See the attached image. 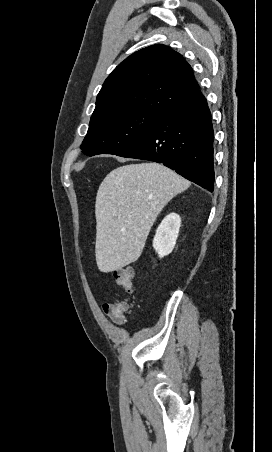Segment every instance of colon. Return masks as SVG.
<instances>
[{"label": "colon", "mask_w": 272, "mask_h": 452, "mask_svg": "<svg viewBox=\"0 0 272 452\" xmlns=\"http://www.w3.org/2000/svg\"><path fill=\"white\" fill-rule=\"evenodd\" d=\"M134 272L131 268H121L115 271V280L119 286H121L125 291L131 292L134 284ZM130 305L127 301L122 302H111L107 303L106 309L110 313H115L117 315H126L129 311Z\"/></svg>", "instance_id": "obj_1"}]
</instances>
